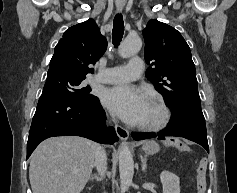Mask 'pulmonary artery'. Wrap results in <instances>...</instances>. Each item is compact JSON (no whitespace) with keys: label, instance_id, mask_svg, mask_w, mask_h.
<instances>
[{"label":"pulmonary artery","instance_id":"obj_1","mask_svg":"<svg viewBox=\"0 0 237 193\" xmlns=\"http://www.w3.org/2000/svg\"><path fill=\"white\" fill-rule=\"evenodd\" d=\"M143 69V61L141 58H133L128 65L117 66L101 70L94 79L101 83H116L137 79Z\"/></svg>","mask_w":237,"mask_h":193}]
</instances>
